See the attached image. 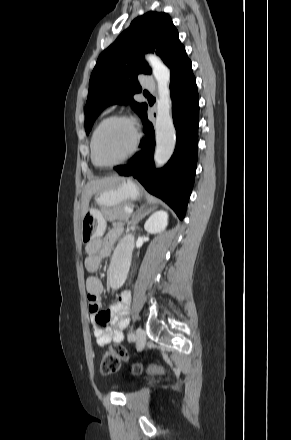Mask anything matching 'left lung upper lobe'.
<instances>
[{"label": "left lung upper lobe", "mask_w": 291, "mask_h": 440, "mask_svg": "<svg viewBox=\"0 0 291 440\" xmlns=\"http://www.w3.org/2000/svg\"><path fill=\"white\" fill-rule=\"evenodd\" d=\"M156 52L171 69L185 53L171 17L164 12H148L134 19L116 41L103 51L89 81V93L84 108L85 130L88 134L94 120L110 104H131L143 118L146 103L133 99L142 91L138 75L151 74L144 54Z\"/></svg>", "instance_id": "1"}]
</instances>
